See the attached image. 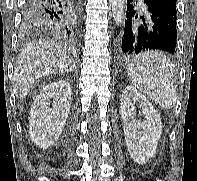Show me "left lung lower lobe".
Listing matches in <instances>:
<instances>
[{"instance_id":"left-lung-lower-lobe-1","label":"left lung lower lobe","mask_w":197,"mask_h":181,"mask_svg":"<svg viewBox=\"0 0 197 181\" xmlns=\"http://www.w3.org/2000/svg\"><path fill=\"white\" fill-rule=\"evenodd\" d=\"M145 14L134 7L137 0H127L126 18L117 43L120 59L150 50L176 52V0H144Z\"/></svg>"}]
</instances>
